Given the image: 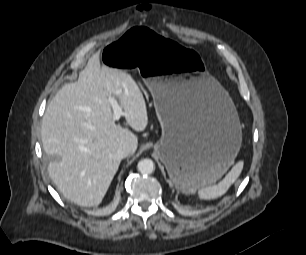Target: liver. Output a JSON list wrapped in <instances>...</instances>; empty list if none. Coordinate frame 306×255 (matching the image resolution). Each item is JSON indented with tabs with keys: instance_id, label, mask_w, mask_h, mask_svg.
Instances as JSON below:
<instances>
[{
	"instance_id": "1",
	"label": "liver",
	"mask_w": 306,
	"mask_h": 255,
	"mask_svg": "<svg viewBox=\"0 0 306 255\" xmlns=\"http://www.w3.org/2000/svg\"><path fill=\"white\" fill-rule=\"evenodd\" d=\"M109 97L118 101L133 130L146 129L147 106L137 83L123 70L101 66L98 55L77 82L56 93L42 120L44 151L55 157L49 176L65 198L84 207L103 200L121 163L118 148L128 144L134 153L138 146L137 136L113 121Z\"/></svg>"
}]
</instances>
